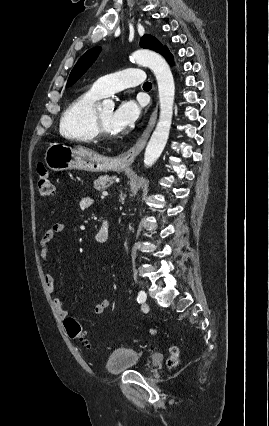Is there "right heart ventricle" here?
<instances>
[{"instance_id":"1","label":"right heart ventricle","mask_w":269,"mask_h":426,"mask_svg":"<svg viewBox=\"0 0 269 426\" xmlns=\"http://www.w3.org/2000/svg\"><path fill=\"white\" fill-rule=\"evenodd\" d=\"M101 98L92 89L75 98L64 110L60 120V133L71 140L91 142L96 138L93 124L96 102Z\"/></svg>"}]
</instances>
